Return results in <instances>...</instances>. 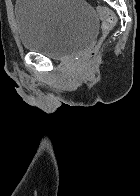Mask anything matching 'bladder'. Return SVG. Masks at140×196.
<instances>
[{
	"label": "bladder",
	"mask_w": 140,
	"mask_h": 196,
	"mask_svg": "<svg viewBox=\"0 0 140 196\" xmlns=\"http://www.w3.org/2000/svg\"><path fill=\"white\" fill-rule=\"evenodd\" d=\"M14 16L23 49L55 60L83 52L98 32V13L85 0H17Z\"/></svg>",
	"instance_id": "1"
}]
</instances>
